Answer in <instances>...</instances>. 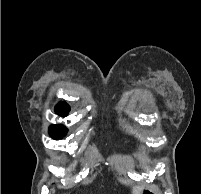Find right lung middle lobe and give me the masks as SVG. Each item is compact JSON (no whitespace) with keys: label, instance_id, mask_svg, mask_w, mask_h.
<instances>
[{"label":"right lung middle lobe","instance_id":"right-lung-middle-lobe-1","mask_svg":"<svg viewBox=\"0 0 201 194\" xmlns=\"http://www.w3.org/2000/svg\"><path fill=\"white\" fill-rule=\"evenodd\" d=\"M59 114H61L62 116H65V114L63 113H59ZM49 131H50L51 137L57 140V139H62V137L66 135L67 129L63 125H52L49 128Z\"/></svg>","mask_w":201,"mask_h":194}]
</instances>
